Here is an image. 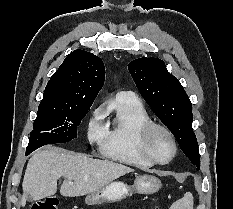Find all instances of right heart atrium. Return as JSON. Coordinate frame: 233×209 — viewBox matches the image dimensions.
I'll return each mask as SVG.
<instances>
[{
    "label": "right heart atrium",
    "instance_id": "d8ad5b80",
    "mask_svg": "<svg viewBox=\"0 0 233 209\" xmlns=\"http://www.w3.org/2000/svg\"><path fill=\"white\" fill-rule=\"evenodd\" d=\"M105 136V129L100 120L99 112L91 117L87 127V137L91 143L102 142Z\"/></svg>",
    "mask_w": 233,
    "mask_h": 209
}]
</instances>
